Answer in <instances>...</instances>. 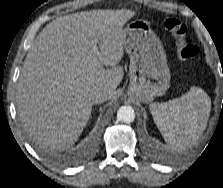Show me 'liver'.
Here are the masks:
<instances>
[{
	"label": "liver",
	"instance_id": "liver-1",
	"mask_svg": "<svg viewBox=\"0 0 223 188\" xmlns=\"http://www.w3.org/2000/svg\"><path fill=\"white\" fill-rule=\"evenodd\" d=\"M134 15L127 9L84 11L56 18L39 33L16 93L23 128L36 144L58 151L71 147L90 119L91 92L105 90L113 98L124 76L123 26Z\"/></svg>",
	"mask_w": 223,
	"mask_h": 188
}]
</instances>
